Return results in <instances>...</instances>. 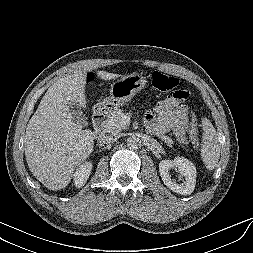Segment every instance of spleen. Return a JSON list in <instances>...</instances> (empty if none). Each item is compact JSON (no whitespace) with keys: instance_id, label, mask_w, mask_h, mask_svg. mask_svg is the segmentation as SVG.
<instances>
[{"instance_id":"obj_1","label":"spleen","mask_w":253,"mask_h":253,"mask_svg":"<svg viewBox=\"0 0 253 253\" xmlns=\"http://www.w3.org/2000/svg\"><path fill=\"white\" fill-rule=\"evenodd\" d=\"M202 129L201 159L205 167L211 171L219 161L220 145L216 130L207 118L202 119Z\"/></svg>"}]
</instances>
